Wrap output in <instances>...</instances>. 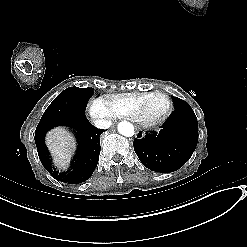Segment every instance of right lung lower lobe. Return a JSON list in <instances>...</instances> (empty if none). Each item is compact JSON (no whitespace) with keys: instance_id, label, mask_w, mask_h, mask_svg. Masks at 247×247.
Listing matches in <instances>:
<instances>
[{"instance_id":"1","label":"right lung lower lobe","mask_w":247,"mask_h":247,"mask_svg":"<svg viewBox=\"0 0 247 247\" xmlns=\"http://www.w3.org/2000/svg\"><path fill=\"white\" fill-rule=\"evenodd\" d=\"M55 126H67L74 130L78 138V147L71 168L66 172H58L49 158L44 144V136ZM104 130L93 127L85 115L56 117L40 121L35 130V143L40 161L44 168L57 180L65 183H82L95 170L100 154V135Z\"/></svg>"}]
</instances>
